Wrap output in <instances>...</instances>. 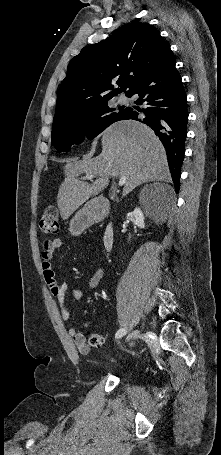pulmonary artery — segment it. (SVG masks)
<instances>
[{"label": "pulmonary artery", "mask_w": 221, "mask_h": 455, "mask_svg": "<svg viewBox=\"0 0 221 455\" xmlns=\"http://www.w3.org/2000/svg\"><path fill=\"white\" fill-rule=\"evenodd\" d=\"M119 100H120L121 103H127V101H128L127 98L124 97V96L120 97Z\"/></svg>", "instance_id": "e3ab8cb5"}]
</instances>
